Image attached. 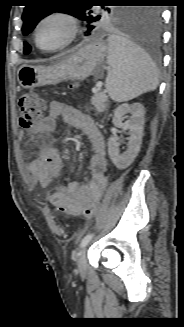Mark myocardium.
I'll return each instance as SVG.
<instances>
[{"label": "myocardium", "mask_w": 184, "mask_h": 327, "mask_svg": "<svg viewBox=\"0 0 184 327\" xmlns=\"http://www.w3.org/2000/svg\"><path fill=\"white\" fill-rule=\"evenodd\" d=\"M50 19H61V20L65 21L68 26V35L61 44H59L55 47H52V48H45V47L41 46L39 43L38 32H39L41 25ZM79 30H80L79 23H78L77 18L74 15H72L68 12H65V11H52V12L45 14L36 23V25L34 27V31H33L34 42H35V45L44 52L59 51V50L66 48L67 46H69L76 39L77 35L79 34Z\"/></svg>", "instance_id": "myocardium-1"}]
</instances>
